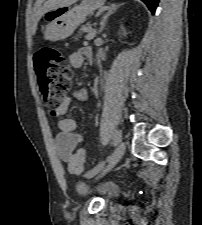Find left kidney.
Here are the masks:
<instances>
[{
	"instance_id": "obj_1",
	"label": "left kidney",
	"mask_w": 202,
	"mask_h": 225,
	"mask_svg": "<svg viewBox=\"0 0 202 225\" xmlns=\"http://www.w3.org/2000/svg\"><path fill=\"white\" fill-rule=\"evenodd\" d=\"M121 30H122V33H119V34L120 35H123V36H126L127 33H126L125 29L123 28V26L121 27Z\"/></svg>"
}]
</instances>
